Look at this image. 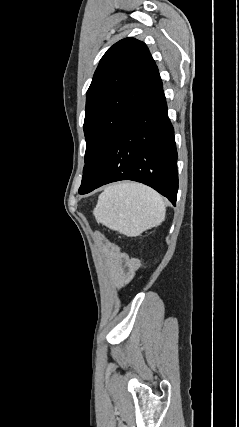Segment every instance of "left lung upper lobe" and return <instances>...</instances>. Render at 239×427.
Returning <instances> with one entry per match:
<instances>
[{"label": "left lung upper lobe", "mask_w": 239, "mask_h": 427, "mask_svg": "<svg viewBox=\"0 0 239 427\" xmlns=\"http://www.w3.org/2000/svg\"><path fill=\"white\" fill-rule=\"evenodd\" d=\"M161 87L158 68L145 43L125 38L104 54L86 94V152L79 192L91 181L119 129Z\"/></svg>", "instance_id": "obj_1"}]
</instances>
